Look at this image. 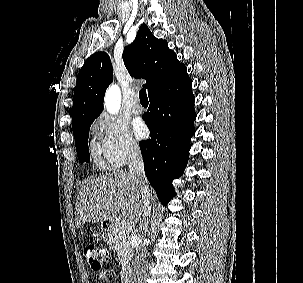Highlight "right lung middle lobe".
Listing matches in <instances>:
<instances>
[{
	"label": "right lung middle lobe",
	"instance_id": "dd1d6c3e",
	"mask_svg": "<svg viewBox=\"0 0 303 283\" xmlns=\"http://www.w3.org/2000/svg\"><path fill=\"white\" fill-rule=\"evenodd\" d=\"M93 121L94 120L84 122L83 124L73 129L78 160L81 163L89 162L90 160L88 148V133Z\"/></svg>",
	"mask_w": 303,
	"mask_h": 283
}]
</instances>
